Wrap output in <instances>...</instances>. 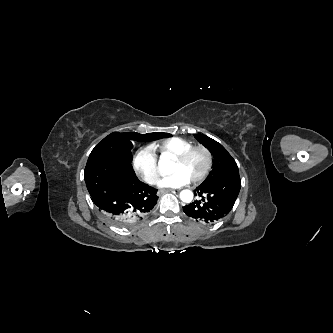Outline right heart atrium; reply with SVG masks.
<instances>
[{
  "instance_id": "right-heart-atrium-1",
  "label": "right heart atrium",
  "mask_w": 333,
  "mask_h": 333,
  "mask_svg": "<svg viewBox=\"0 0 333 333\" xmlns=\"http://www.w3.org/2000/svg\"><path fill=\"white\" fill-rule=\"evenodd\" d=\"M136 174L146 183L154 185L159 180L157 157L150 146L140 148L133 157Z\"/></svg>"
}]
</instances>
